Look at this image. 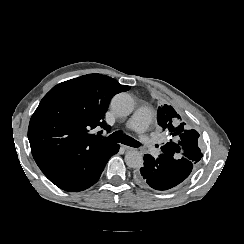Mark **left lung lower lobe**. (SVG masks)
<instances>
[{"label": "left lung lower lobe", "mask_w": 244, "mask_h": 244, "mask_svg": "<svg viewBox=\"0 0 244 244\" xmlns=\"http://www.w3.org/2000/svg\"><path fill=\"white\" fill-rule=\"evenodd\" d=\"M195 164L186 158H177L172 152L161 153L156 159L146 154L144 166L136 172V179L156 190H167L184 181Z\"/></svg>", "instance_id": "1"}]
</instances>
